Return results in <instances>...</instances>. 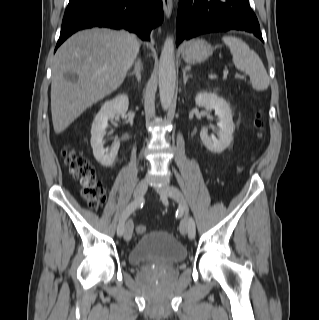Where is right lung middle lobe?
<instances>
[{
    "label": "right lung middle lobe",
    "mask_w": 319,
    "mask_h": 320,
    "mask_svg": "<svg viewBox=\"0 0 319 320\" xmlns=\"http://www.w3.org/2000/svg\"><path fill=\"white\" fill-rule=\"evenodd\" d=\"M75 0H70V2L69 3H71V2H74Z\"/></svg>",
    "instance_id": "obj_1"
}]
</instances>
